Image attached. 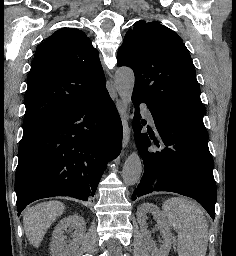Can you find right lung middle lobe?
I'll return each mask as SVG.
<instances>
[{"label": "right lung middle lobe", "instance_id": "dd1d6c3e", "mask_svg": "<svg viewBox=\"0 0 236 256\" xmlns=\"http://www.w3.org/2000/svg\"><path fill=\"white\" fill-rule=\"evenodd\" d=\"M49 121H42V120H33V121H27L23 122V136L27 135L40 127L47 124Z\"/></svg>", "mask_w": 236, "mask_h": 256}]
</instances>
